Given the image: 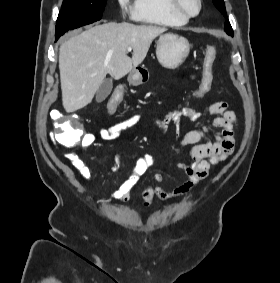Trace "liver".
Masks as SVG:
<instances>
[{"label":"liver","instance_id":"liver-1","mask_svg":"<svg viewBox=\"0 0 280 283\" xmlns=\"http://www.w3.org/2000/svg\"><path fill=\"white\" fill-rule=\"evenodd\" d=\"M165 27L109 22L71 37L59 49L62 104L75 112L91 103L107 74L120 79L145 59ZM132 47V58L127 48Z\"/></svg>","mask_w":280,"mask_h":283}]
</instances>
